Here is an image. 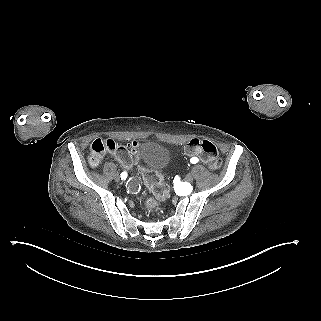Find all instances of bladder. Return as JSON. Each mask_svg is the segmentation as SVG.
Instances as JSON below:
<instances>
[{
    "mask_svg": "<svg viewBox=\"0 0 321 321\" xmlns=\"http://www.w3.org/2000/svg\"><path fill=\"white\" fill-rule=\"evenodd\" d=\"M136 159L146 169L160 171L168 164L169 152L156 143L145 142L138 146Z\"/></svg>",
    "mask_w": 321,
    "mask_h": 321,
    "instance_id": "31cf9c89",
    "label": "bladder"
}]
</instances>
